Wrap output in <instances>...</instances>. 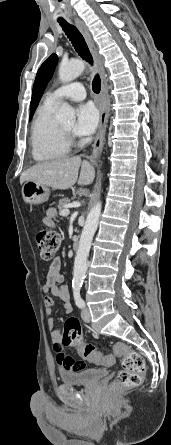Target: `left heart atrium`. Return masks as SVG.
Returning a JSON list of instances; mask_svg holds the SVG:
<instances>
[{"label": "left heart atrium", "mask_w": 171, "mask_h": 445, "mask_svg": "<svg viewBox=\"0 0 171 445\" xmlns=\"http://www.w3.org/2000/svg\"><path fill=\"white\" fill-rule=\"evenodd\" d=\"M99 123V111L93 103H85L77 109V120L74 133L78 136L92 134Z\"/></svg>", "instance_id": "obj_1"}]
</instances>
